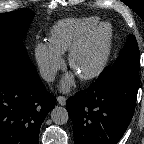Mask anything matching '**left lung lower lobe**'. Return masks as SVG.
<instances>
[{
	"label": "left lung lower lobe",
	"mask_w": 144,
	"mask_h": 144,
	"mask_svg": "<svg viewBox=\"0 0 144 144\" xmlns=\"http://www.w3.org/2000/svg\"><path fill=\"white\" fill-rule=\"evenodd\" d=\"M140 79L105 85L100 77L67 100L75 144H116L134 114Z\"/></svg>",
	"instance_id": "left-lung-lower-lobe-1"
}]
</instances>
